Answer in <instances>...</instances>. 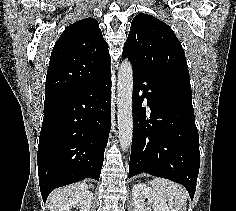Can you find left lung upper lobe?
<instances>
[{
	"label": "left lung upper lobe",
	"instance_id": "left-lung-upper-lobe-1",
	"mask_svg": "<svg viewBox=\"0 0 236 211\" xmlns=\"http://www.w3.org/2000/svg\"><path fill=\"white\" fill-rule=\"evenodd\" d=\"M133 70L191 96L189 71L181 43L166 23L148 14L137 15L123 49Z\"/></svg>",
	"mask_w": 236,
	"mask_h": 211
}]
</instances>
